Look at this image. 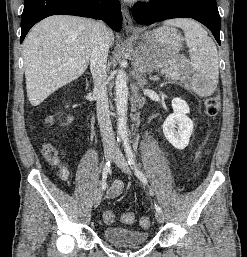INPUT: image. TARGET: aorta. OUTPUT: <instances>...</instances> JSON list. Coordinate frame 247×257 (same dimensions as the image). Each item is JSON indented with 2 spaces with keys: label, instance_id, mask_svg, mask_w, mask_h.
<instances>
[{
  "label": "aorta",
  "instance_id": "aorta-1",
  "mask_svg": "<svg viewBox=\"0 0 247 257\" xmlns=\"http://www.w3.org/2000/svg\"><path fill=\"white\" fill-rule=\"evenodd\" d=\"M117 136L120 139L127 138V103H128V85L127 76L123 69H119L115 80Z\"/></svg>",
  "mask_w": 247,
  "mask_h": 257
}]
</instances>
